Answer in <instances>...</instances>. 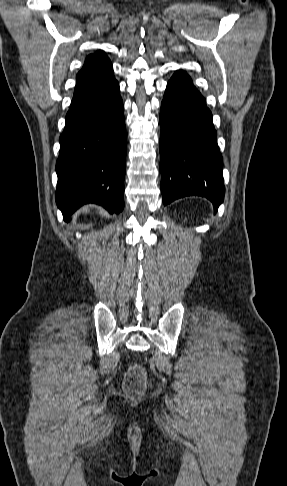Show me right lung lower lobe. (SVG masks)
I'll return each instance as SVG.
<instances>
[{
	"label": "right lung lower lobe",
	"mask_w": 287,
	"mask_h": 486,
	"mask_svg": "<svg viewBox=\"0 0 287 486\" xmlns=\"http://www.w3.org/2000/svg\"><path fill=\"white\" fill-rule=\"evenodd\" d=\"M56 203L65 221L86 203L124 207L126 129L115 78L74 92L60 136Z\"/></svg>",
	"instance_id": "right-lung-lower-lobe-1"
}]
</instances>
